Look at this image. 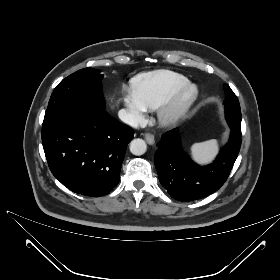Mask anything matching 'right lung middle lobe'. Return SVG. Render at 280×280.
<instances>
[{
  "instance_id": "right-lung-middle-lobe-1",
  "label": "right lung middle lobe",
  "mask_w": 280,
  "mask_h": 280,
  "mask_svg": "<svg viewBox=\"0 0 280 280\" xmlns=\"http://www.w3.org/2000/svg\"><path fill=\"white\" fill-rule=\"evenodd\" d=\"M102 78L103 74L92 68L69 75L54 89L45 116L63 108L104 109Z\"/></svg>"
}]
</instances>
